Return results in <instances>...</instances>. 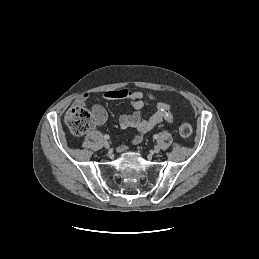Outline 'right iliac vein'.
I'll return each instance as SVG.
<instances>
[{"label": "right iliac vein", "mask_w": 259, "mask_h": 259, "mask_svg": "<svg viewBox=\"0 0 259 259\" xmlns=\"http://www.w3.org/2000/svg\"><path fill=\"white\" fill-rule=\"evenodd\" d=\"M103 145H104V147L107 148V149L110 147L109 142L106 141V140L103 142Z\"/></svg>", "instance_id": "right-iliac-vein-1"}]
</instances>
